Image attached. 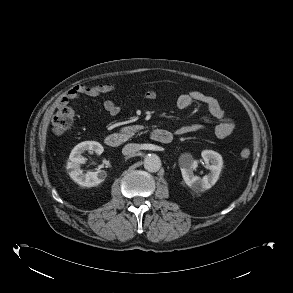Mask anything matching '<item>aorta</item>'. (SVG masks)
<instances>
[{"label":"aorta","instance_id":"obj_1","mask_svg":"<svg viewBox=\"0 0 293 293\" xmlns=\"http://www.w3.org/2000/svg\"><path fill=\"white\" fill-rule=\"evenodd\" d=\"M144 168L149 172H157L161 168V160L156 154H148L144 158Z\"/></svg>","mask_w":293,"mask_h":293}]
</instances>
